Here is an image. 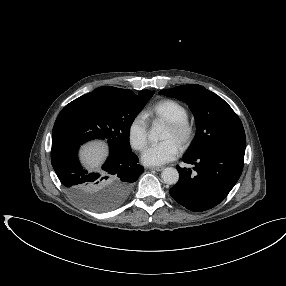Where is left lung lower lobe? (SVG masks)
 I'll return each mask as SVG.
<instances>
[{"label": "left lung lower lobe", "instance_id": "left-lung-lower-lobe-1", "mask_svg": "<svg viewBox=\"0 0 286 286\" xmlns=\"http://www.w3.org/2000/svg\"><path fill=\"white\" fill-rule=\"evenodd\" d=\"M245 152L229 148H216L183 157L191 169L177 167L180 178L170 190V195L182 206L195 212L218 205L238 181Z\"/></svg>", "mask_w": 286, "mask_h": 286}]
</instances>
